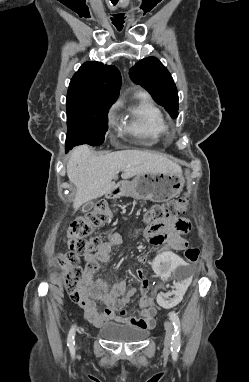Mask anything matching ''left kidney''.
<instances>
[{
    "mask_svg": "<svg viewBox=\"0 0 249 382\" xmlns=\"http://www.w3.org/2000/svg\"><path fill=\"white\" fill-rule=\"evenodd\" d=\"M147 264L145 261L142 263ZM187 263L171 250H164L155 260L151 261L152 271L161 277L164 282L165 291H158L155 295L157 307L174 309L179 302L183 301L185 293H188L194 270H182Z\"/></svg>",
    "mask_w": 249,
    "mask_h": 382,
    "instance_id": "1",
    "label": "left kidney"
}]
</instances>
